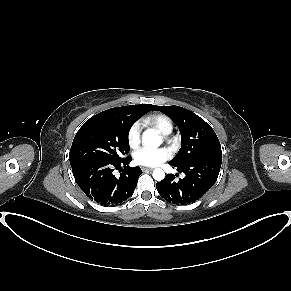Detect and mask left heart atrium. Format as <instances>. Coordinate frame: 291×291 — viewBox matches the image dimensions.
<instances>
[{
	"label": "left heart atrium",
	"mask_w": 291,
	"mask_h": 291,
	"mask_svg": "<svg viewBox=\"0 0 291 291\" xmlns=\"http://www.w3.org/2000/svg\"><path fill=\"white\" fill-rule=\"evenodd\" d=\"M170 152L166 148L141 147L134 152V161L139 165L156 166L167 160Z\"/></svg>",
	"instance_id": "39dd6f15"
}]
</instances>
